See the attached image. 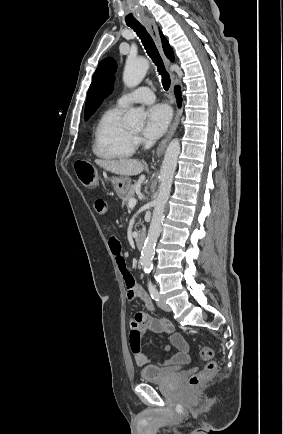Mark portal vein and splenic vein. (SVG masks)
<instances>
[{
  "label": "portal vein and splenic vein",
  "instance_id": "obj_1",
  "mask_svg": "<svg viewBox=\"0 0 283 434\" xmlns=\"http://www.w3.org/2000/svg\"><path fill=\"white\" fill-rule=\"evenodd\" d=\"M135 205H136V199H134V198L130 199L129 203H128L129 209H133L135 207Z\"/></svg>",
  "mask_w": 283,
  "mask_h": 434
}]
</instances>
